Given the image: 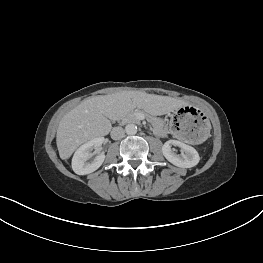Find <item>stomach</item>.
<instances>
[{
	"label": "stomach",
	"instance_id": "obj_1",
	"mask_svg": "<svg viewBox=\"0 0 263 263\" xmlns=\"http://www.w3.org/2000/svg\"><path fill=\"white\" fill-rule=\"evenodd\" d=\"M170 127L177 138L191 146L205 143L212 132L209 117L193 106L177 109L171 117Z\"/></svg>",
	"mask_w": 263,
	"mask_h": 263
}]
</instances>
